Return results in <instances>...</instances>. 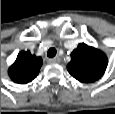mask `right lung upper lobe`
<instances>
[{"mask_svg":"<svg viewBox=\"0 0 115 114\" xmlns=\"http://www.w3.org/2000/svg\"><path fill=\"white\" fill-rule=\"evenodd\" d=\"M42 66V58L29 51H21L8 70L10 78L19 84L31 82L38 75Z\"/></svg>","mask_w":115,"mask_h":114,"instance_id":"obj_1","label":"right lung upper lobe"}]
</instances>
